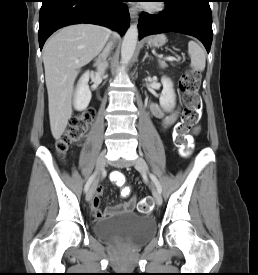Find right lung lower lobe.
I'll list each match as a JSON object with an SVG mask.
<instances>
[{"label": "right lung lower lobe", "mask_w": 258, "mask_h": 275, "mask_svg": "<svg viewBox=\"0 0 258 275\" xmlns=\"http://www.w3.org/2000/svg\"><path fill=\"white\" fill-rule=\"evenodd\" d=\"M122 0H42L39 15V46L57 29L78 23L110 27L122 36L130 23V16Z\"/></svg>", "instance_id": "1"}]
</instances>
